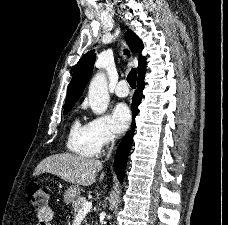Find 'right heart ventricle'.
<instances>
[{"label":"right heart ventricle","mask_w":228,"mask_h":225,"mask_svg":"<svg viewBox=\"0 0 228 225\" xmlns=\"http://www.w3.org/2000/svg\"><path fill=\"white\" fill-rule=\"evenodd\" d=\"M66 147L69 151L85 157L98 156L100 153V147L92 138L87 125H82L77 118L70 123Z\"/></svg>","instance_id":"right-heart-ventricle-1"}]
</instances>
